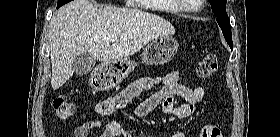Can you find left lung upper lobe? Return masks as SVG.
<instances>
[{"label": "left lung upper lobe", "mask_w": 280, "mask_h": 137, "mask_svg": "<svg viewBox=\"0 0 280 137\" xmlns=\"http://www.w3.org/2000/svg\"><path fill=\"white\" fill-rule=\"evenodd\" d=\"M211 3V8L214 15L217 18V22L222 29L225 40L229 44L230 48L233 49L232 33L230 27L229 17L226 13V0H208Z\"/></svg>", "instance_id": "1"}]
</instances>
